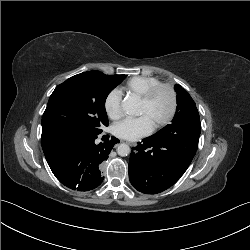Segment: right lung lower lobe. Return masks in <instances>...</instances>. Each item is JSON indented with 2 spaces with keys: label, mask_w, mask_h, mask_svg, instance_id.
<instances>
[{
  "label": "right lung lower lobe",
  "mask_w": 250,
  "mask_h": 250,
  "mask_svg": "<svg viewBox=\"0 0 250 250\" xmlns=\"http://www.w3.org/2000/svg\"><path fill=\"white\" fill-rule=\"evenodd\" d=\"M97 136L72 129L42 132L41 144L48 165L56 178L68 188L88 191L102 183V162L119 140L112 137L97 145Z\"/></svg>",
  "instance_id": "1"
}]
</instances>
